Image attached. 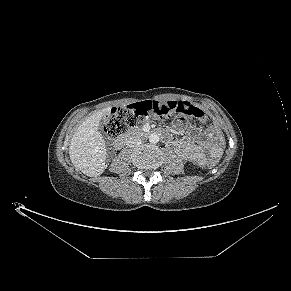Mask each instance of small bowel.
<instances>
[{
	"label": "small bowel",
	"mask_w": 291,
	"mask_h": 291,
	"mask_svg": "<svg viewBox=\"0 0 291 291\" xmlns=\"http://www.w3.org/2000/svg\"><path fill=\"white\" fill-rule=\"evenodd\" d=\"M173 127L180 136H185L190 129L188 122L183 118L175 120ZM174 146L181 158L202 167L207 163L206 152L210 159H218L222 155L224 140L221 131L215 126H210L195 135V142L182 138L176 140Z\"/></svg>",
	"instance_id": "1"
}]
</instances>
